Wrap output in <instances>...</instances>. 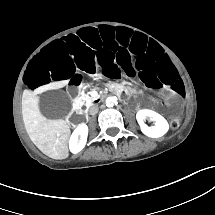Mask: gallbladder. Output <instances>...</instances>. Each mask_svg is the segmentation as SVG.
Wrapping results in <instances>:
<instances>
[{
	"label": "gallbladder",
	"instance_id": "1",
	"mask_svg": "<svg viewBox=\"0 0 215 215\" xmlns=\"http://www.w3.org/2000/svg\"><path fill=\"white\" fill-rule=\"evenodd\" d=\"M68 95L62 91H48L44 93L39 101L44 116L52 119L65 117L71 108Z\"/></svg>",
	"mask_w": 215,
	"mask_h": 215
}]
</instances>
